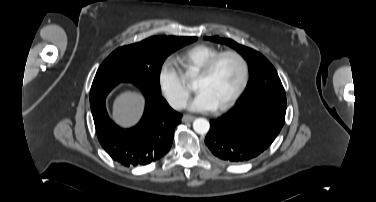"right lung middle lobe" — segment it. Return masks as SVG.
<instances>
[{"label": "right lung middle lobe", "instance_id": "obj_1", "mask_svg": "<svg viewBox=\"0 0 376 202\" xmlns=\"http://www.w3.org/2000/svg\"><path fill=\"white\" fill-rule=\"evenodd\" d=\"M197 37L154 36L139 43L120 47L99 67L92 86L107 82H133L160 88V71L165 59Z\"/></svg>", "mask_w": 376, "mask_h": 202}]
</instances>
